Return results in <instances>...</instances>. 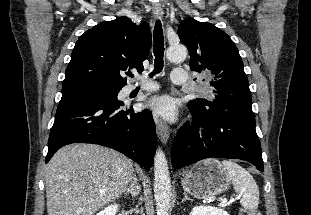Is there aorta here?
Instances as JSON below:
<instances>
[{
	"label": "aorta",
	"mask_w": 311,
	"mask_h": 215,
	"mask_svg": "<svg viewBox=\"0 0 311 215\" xmlns=\"http://www.w3.org/2000/svg\"><path fill=\"white\" fill-rule=\"evenodd\" d=\"M187 56V49L183 45L170 46L166 57L169 61H183ZM171 179L168 162L164 152L157 149L154 158V197L157 215H168L171 202Z\"/></svg>",
	"instance_id": "762f6f07"
}]
</instances>
